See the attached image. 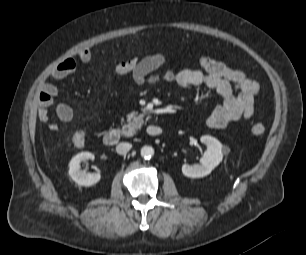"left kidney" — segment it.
<instances>
[{
	"instance_id": "left-kidney-1",
	"label": "left kidney",
	"mask_w": 306,
	"mask_h": 255,
	"mask_svg": "<svg viewBox=\"0 0 306 255\" xmlns=\"http://www.w3.org/2000/svg\"><path fill=\"white\" fill-rule=\"evenodd\" d=\"M200 141L207 147L200 159V164H184L182 166V173L190 178L207 176L223 159L222 144L216 138L204 135L200 138Z\"/></svg>"
}]
</instances>
